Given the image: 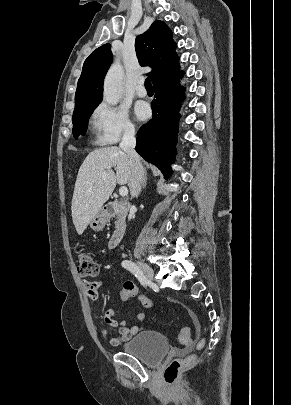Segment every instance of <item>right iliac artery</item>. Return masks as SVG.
Masks as SVG:
<instances>
[{
  "label": "right iliac artery",
  "mask_w": 291,
  "mask_h": 405,
  "mask_svg": "<svg viewBox=\"0 0 291 405\" xmlns=\"http://www.w3.org/2000/svg\"><path fill=\"white\" fill-rule=\"evenodd\" d=\"M122 266L130 271L132 274L135 275V277L139 280V282L146 287L148 280L144 276V274L140 271V269L131 261L125 260L122 262Z\"/></svg>",
  "instance_id": "82829eb1"
}]
</instances>
